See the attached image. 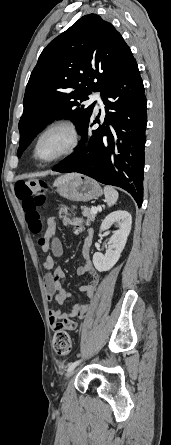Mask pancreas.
<instances>
[{
    "label": "pancreas",
    "instance_id": "pancreas-1",
    "mask_svg": "<svg viewBox=\"0 0 171 445\" xmlns=\"http://www.w3.org/2000/svg\"><path fill=\"white\" fill-rule=\"evenodd\" d=\"M82 209L83 216H85L90 221H94L96 214H92L91 210L86 206H83Z\"/></svg>",
    "mask_w": 171,
    "mask_h": 445
}]
</instances>
